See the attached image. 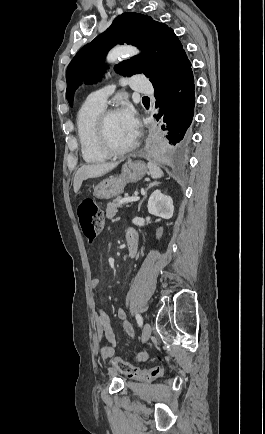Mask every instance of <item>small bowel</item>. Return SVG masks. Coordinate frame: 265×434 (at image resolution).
Wrapping results in <instances>:
<instances>
[{
	"instance_id": "c3829d8e",
	"label": "small bowel",
	"mask_w": 265,
	"mask_h": 434,
	"mask_svg": "<svg viewBox=\"0 0 265 434\" xmlns=\"http://www.w3.org/2000/svg\"><path fill=\"white\" fill-rule=\"evenodd\" d=\"M134 239L137 240V237L135 232L131 230L128 234L127 241L129 243ZM91 288L94 291L98 290L100 288V281L98 279H93L91 281ZM117 316L122 323L123 329L130 338L134 339V332L127 319L125 310L122 308L118 309ZM93 317L95 323V342L98 346L99 353L104 359L110 358L115 353L116 345V337L113 332L110 317L101 307L95 309ZM137 356L139 358H146L147 355L144 350H140ZM109 376H112V373H109Z\"/></svg>"
}]
</instances>
